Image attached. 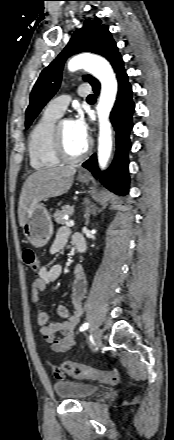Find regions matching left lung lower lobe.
<instances>
[{"label": "left lung lower lobe", "mask_w": 174, "mask_h": 440, "mask_svg": "<svg viewBox=\"0 0 174 440\" xmlns=\"http://www.w3.org/2000/svg\"><path fill=\"white\" fill-rule=\"evenodd\" d=\"M110 62L118 79V95L110 115V120L116 131L115 158L111 167L104 173L98 169L95 154L83 164V167L91 171L96 178H100L108 189L116 194L125 195L129 188L128 151L131 148L129 133L133 127L132 114L135 105L132 101V87L128 82L120 53L115 55ZM92 87L95 94L98 95L100 83L97 81Z\"/></svg>", "instance_id": "left-lung-lower-lobe-1"}]
</instances>
